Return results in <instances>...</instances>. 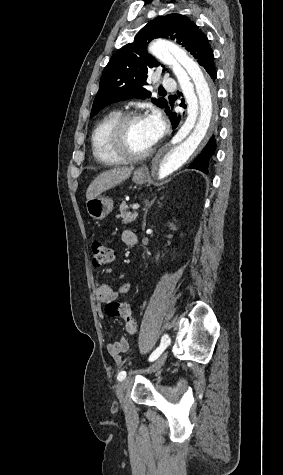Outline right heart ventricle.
<instances>
[{
  "mask_svg": "<svg viewBox=\"0 0 283 475\" xmlns=\"http://www.w3.org/2000/svg\"><path fill=\"white\" fill-rule=\"evenodd\" d=\"M122 111L119 109H112L103 115L95 124L92 133H91V147L94 157L99 161L103 162L100 158V151L102 150L105 153L104 144L106 137L114 124V122L122 115Z\"/></svg>",
  "mask_w": 283,
  "mask_h": 475,
  "instance_id": "1",
  "label": "right heart ventricle"
}]
</instances>
